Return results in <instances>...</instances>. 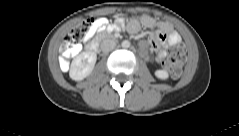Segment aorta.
<instances>
[{"label":"aorta","instance_id":"762f6f07","mask_svg":"<svg viewBox=\"0 0 239 136\" xmlns=\"http://www.w3.org/2000/svg\"><path fill=\"white\" fill-rule=\"evenodd\" d=\"M123 48H129L130 47V42L128 40H124L121 44Z\"/></svg>","mask_w":239,"mask_h":136}]
</instances>
